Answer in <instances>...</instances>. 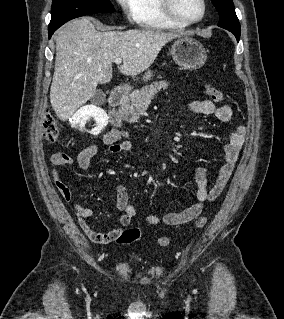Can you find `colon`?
<instances>
[{"label": "colon", "instance_id": "5ec220e1", "mask_svg": "<svg viewBox=\"0 0 284 319\" xmlns=\"http://www.w3.org/2000/svg\"><path fill=\"white\" fill-rule=\"evenodd\" d=\"M205 94L214 102H221L224 98L223 93L218 88L212 85H207L205 87ZM42 133H43L44 139L48 142H54L57 139L60 133V127L52 116L47 115L43 119ZM206 223H207V218L202 216L196 221L195 226L197 228H202L205 226ZM140 238H141V232L139 229L128 228L126 230H123V232L118 237L117 242L120 244H130V243L138 241ZM158 244L160 247H167L170 244V238L161 237L158 240Z\"/></svg>", "mask_w": 284, "mask_h": 319}]
</instances>
